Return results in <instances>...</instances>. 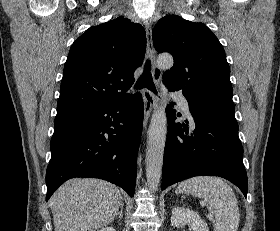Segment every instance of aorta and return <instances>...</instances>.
Segmentation results:
<instances>
[{"label": "aorta", "mask_w": 280, "mask_h": 231, "mask_svg": "<svg viewBox=\"0 0 280 231\" xmlns=\"http://www.w3.org/2000/svg\"><path fill=\"white\" fill-rule=\"evenodd\" d=\"M159 68H172L173 58L170 54H160L157 58ZM167 117L165 108L158 106L154 112L149 131L146 151V177L150 189L156 191L162 173L164 147L166 141Z\"/></svg>", "instance_id": "1"}]
</instances>
